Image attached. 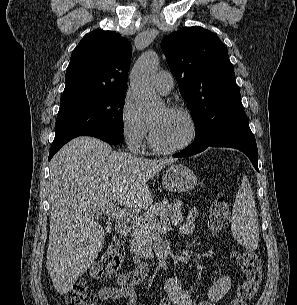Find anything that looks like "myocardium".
Segmentation results:
<instances>
[{
	"instance_id": "obj_1",
	"label": "myocardium",
	"mask_w": 297,
	"mask_h": 305,
	"mask_svg": "<svg viewBox=\"0 0 297 305\" xmlns=\"http://www.w3.org/2000/svg\"><path fill=\"white\" fill-rule=\"evenodd\" d=\"M167 110L169 112H172V113L179 114V115L183 116L189 124L190 133H189L188 137L186 138V140L183 141L182 143H180L176 146H172V147H163V146H160L156 142V140L154 138V134H153V129H152V126L150 124V134H149L150 146L152 147V149L155 152L160 153V154H164V155L175 154V153H178V152H181V151L185 150L195 141V139L197 137V133H198L196 120H195L193 114L190 111H188L187 109H184L182 107H179V106H169L167 108Z\"/></svg>"
}]
</instances>
